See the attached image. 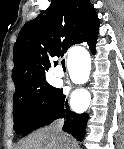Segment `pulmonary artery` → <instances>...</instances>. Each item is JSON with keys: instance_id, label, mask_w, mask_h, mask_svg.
Returning a JSON list of instances; mask_svg holds the SVG:
<instances>
[{"instance_id": "pulmonary-artery-1", "label": "pulmonary artery", "mask_w": 124, "mask_h": 149, "mask_svg": "<svg viewBox=\"0 0 124 149\" xmlns=\"http://www.w3.org/2000/svg\"><path fill=\"white\" fill-rule=\"evenodd\" d=\"M56 75L61 77V76L64 75V73H63V71H62L60 68H58V69L56 70Z\"/></svg>"}]
</instances>
